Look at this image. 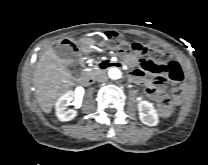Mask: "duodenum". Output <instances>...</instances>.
Here are the masks:
<instances>
[{"label":"duodenum","instance_id":"1","mask_svg":"<svg viewBox=\"0 0 208 165\" xmlns=\"http://www.w3.org/2000/svg\"><path fill=\"white\" fill-rule=\"evenodd\" d=\"M107 68H109V64L107 62H103L99 65V69L100 70H106ZM79 82L82 85H88L90 83H92L93 81V76L91 75H83L81 77H79Z\"/></svg>","mask_w":208,"mask_h":165}]
</instances>
